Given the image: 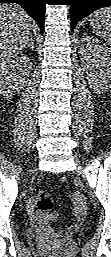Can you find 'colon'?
<instances>
[{
	"label": "colon",
	"mask_w": 111,
	"mask_h": 257,
	"mask_svg": "<svg viewBox=\"0 0 111 257\" xmlns=\"http://www.w3.org/2000/svg\"><path fill=\"white\" fill-rule=\"evenodd\" d=\"M37 209L49 220H56V213L53 211V201L47 190H40L37 194Z\"/></svg>",
	"instance_id": "1"
}]
</instances>
